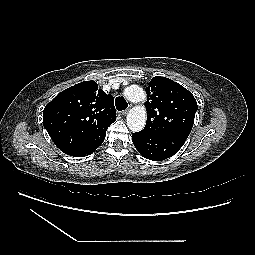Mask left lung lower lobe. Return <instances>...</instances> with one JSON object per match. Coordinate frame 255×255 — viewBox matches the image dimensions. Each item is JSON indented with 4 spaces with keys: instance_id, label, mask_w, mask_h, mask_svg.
I'll return each instance as SVG.
<instances>
[{
    "instance_id": "1",
    "label": "left lung lower lobe",
    "mask_w": 255,
    "mask_h": 255,
    "mask_svg": "<svg viewBox=\"0 0 255 255\" xmlns=\"http://www.w3.org/2000/svg\"><path fill=\"white\" fill-rule=\"evenodd\" d=\"M187 137L173 134L134 133L132 141L138 152L152 161L165 160L179 151Z\"/></svg>"
}]
</instances>
